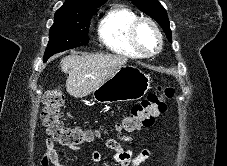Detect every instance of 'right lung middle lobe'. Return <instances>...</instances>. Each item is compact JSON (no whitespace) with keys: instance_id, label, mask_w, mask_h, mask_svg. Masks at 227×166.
Wrapping results in <instances>:
<instances>
[{"instance_id":"dd1d6c3e","label":"right lung middle lobe","mask_w":227,"mask_h":166,"mask_svg":"<svg viewBox=\"0 0 227 166\" xmlns=\"http://www.w3.org/2000/svg\"><path fill=\"white\" fill-rule=\"evenodd\" d=\"M96 8L98 7L79 13L55 14L54 24L50 28V40L44 54V61L58 52L88 44L90 18Z\"/></svg>"}]
</instances>
